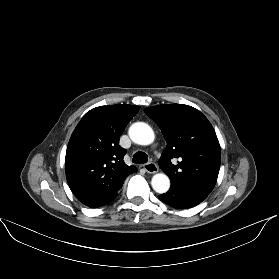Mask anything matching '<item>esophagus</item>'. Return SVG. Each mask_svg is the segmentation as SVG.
<instances>
[{"label": "esophagus", "mask_w": 279, "mask_h": 279, "mask_svg": "<svg viewBox=\"0 0 279 279\" xmlns=\"http://www.w3.org/2000/svg\"><path fill=\"white\" fill-rule=\"evenodd\" d=\"M144 169L147 173L154 174L158 172V167L155 163L149 162L144 165Z\"/></svg>", "instance_id": "obj_1"}]
</instances>
